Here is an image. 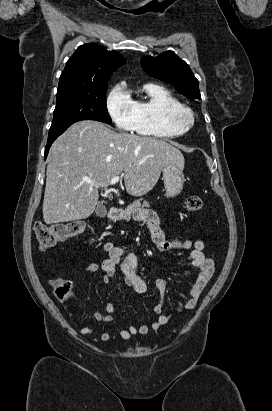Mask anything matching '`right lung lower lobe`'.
Returning a JSON list of instances; mask_svg holds the SVG:
<instances>
[{"mask_svg":"<svg viewBox=\"0 0 272 411\" xmlns=\"http://www.w3.org/2000/svg\"><path fill=\"white\" fill-rule=\"evenodd\" d=\"M57 137H54V138H51V139H48V141H47V145H46V148H45V159H46V157H47V155H48V152H49V149H50V146L52 145V143L55 141V139H56Z\"/></svg>","mask_w":272,"mask_h":411,"instance_id":"right-lung-lower-lobe-1","label":"right lung lower lobe"}]
</instances>
